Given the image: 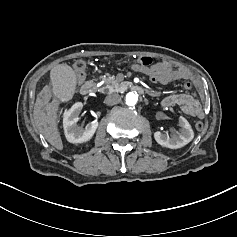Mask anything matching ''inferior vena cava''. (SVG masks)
I'll return each mask as SVG.
<instances>
[{"label": "inferior vena cava", "mask_w": 237, "mask_h": 237, "mask_svg": "<svg viewBox=\"0 0 237 237\" xmlns=\"http://www.w3.org/2000/svg\"><path fill=\"white\" fill-rule=\"evenodd\" d=\"M121 102V97L119 94H110L106 96L104 103L107 105H115Z\"/></svg>", "instance_id": "1"}]
</instances>
